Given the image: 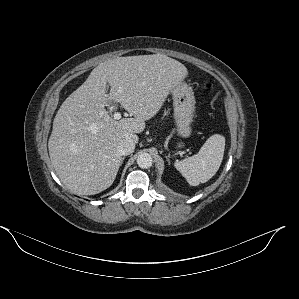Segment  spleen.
<instances>
[{
    "label": "spleen",
    "mask_w": 299,
    "mask_h": 299,
    "mask_svg": "<svg viewBox=\"0 0 299 299\" xmlns=\"http://www.w3.org/2000/svg\"><path fill=\"white\" fill-rule=\"evenodd\" d=\"M224 149L225 138L214 134L206 140L197 154L175 162L174 166L191 186H197L216 174L223 160Z\"/></svg>",
    "instance_id": "1"
}]
</instances>
